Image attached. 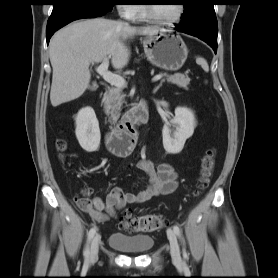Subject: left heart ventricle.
<instances>
[{
    "mask_svg": "<svg viewBox=\"0 0 278 278\" xmlns=\"http://www.w3.org/2000/svg\"><path fill=\"white\" fill-rule=\"evenodd\" d=\"M153 13L160 19L170 20L173 19L179 10L178 4H163V5H153Z\"/></svg>",
    "mask_w": 278,
    "mask_h": 278,
    "instance_id": "left-heart-ventricle-1",
    "label": "left heart ventricle"
}]
</instances>
